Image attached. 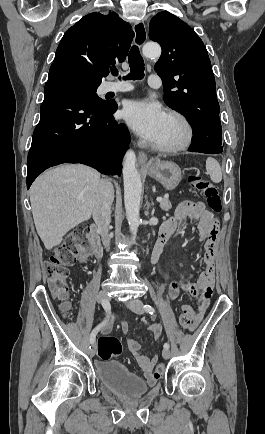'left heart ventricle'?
Segmentation results:
<instances>
[{
  "label": "left heart ventricle",
  "instance_id": "obj_1",
  "mask_svg": "<svg viewBox=\"0 0 265 434\" xmlns=\"http://www.w3.org/2000/svg\"><path fill=\"white\" fill-rule=\"evenodd\" d=\"M181 135V129L177 122L166 119V123L157 139L154 143L158 146H170L176 143Z\"/></svg>",
  "mask_w": 265,
  "mask_h": 434
}]
</instances>
